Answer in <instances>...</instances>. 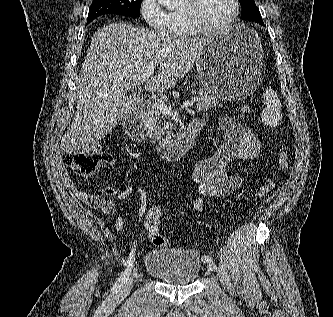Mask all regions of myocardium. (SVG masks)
<instances>
[{
	"mask_svg": "<svg viewBox=\"0 0 333 317\" xmlns=\"http://www.w3.org/2000/svg\"><path fill=\"white\" fill-rule=\"evenodd\" d=\"M187 6L184 9L180 10L182 17L185 22L195 33L198 34H211L216 33L222 30L229 28L237 20L240 13V1L232 0L233 3V12L231 16L225 20L223 23L218 25H204L201 23L197 17V4L199 0H186Z\"/></svg>",
	"mask_w": 333,
	"mask_h": 317,
	"instance_id": "f54148a6",
	"label": "myocardium"
}]
</instances>
